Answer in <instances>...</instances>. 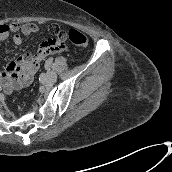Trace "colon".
<instances>
[{
    "label": "colon",
    "instance_id": "obj_1",
    "mask_svg": "<svg viewBox=\"0 0 172 172\" xmlns=\"http://www.w3.org/2000/svg\"><path fill=\"white\" fill-rule=\"evenodd\" d=\"M49 30L53 35L56 36V38L54 40H56L58 42L63 41L64 36L61 33L60 29L50 28ZM25 31H27V28L25 29ZM67 37L73 44H75L76 46H79V47H84L88 43V40L85 37V35H83L81 32L74 30V29H72L68 32Z\"/></svg>",
    "mask_w": 172,
    "mask_h": 172
}]
</instances>
